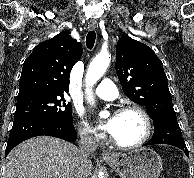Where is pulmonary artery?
<instances>
[{
    "mask_svg": "<svg viewBox=\"0 0 194 178\" xmlns=\"http://www.w3.org/2000/svg\"><path fill=\"white\" fill-rule=\"evenodd\" d=\"M95 94L103 100L112 101L116 99L118 95V90L112 80L103 79L95 90Z\"/></svg>",
    "mask_w": 194,
    "mask_h": 178,
    "instance_id": "1",
    "label": "pulmonary artery"
}]
</instances>
